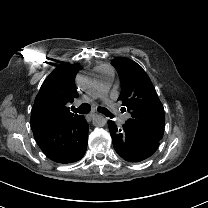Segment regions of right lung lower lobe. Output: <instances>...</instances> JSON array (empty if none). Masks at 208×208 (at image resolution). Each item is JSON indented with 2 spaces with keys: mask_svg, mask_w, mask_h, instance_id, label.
<instances>
[{
  "mask_svg": "<svg viewBox=\"0 0 208 208\" xmlns=\"http://www.w3.org/2000/svg\"><path fill=\"white\" fill-rule=\"evenodd\" d=\"M35 140L52 161L76 162L87 149L89 125L83 116L69 121L43 122L31 125Z\"/></svg>",
  "mask_w": 208,
  "mask_h": 208,
  "instance_id": "right-lung-lower-lobe-1",
  "label": "right lung lower lobe"
}]
</instances>
